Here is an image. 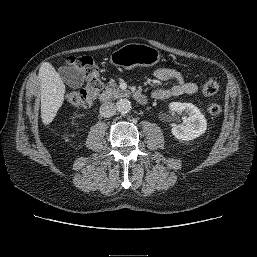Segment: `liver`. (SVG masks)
Segmentation results:
<instances>
[{"label": "liver", "mask_w": 257, "mask_h": 257, "mask_svg": "<svg viewBox=\"0 0 257 257\" xmlns=\"http://www.w3.org/2000/svg\"><path fill=\"white\" fill-rule=\"evenodd\" d=\"M39 79L41 83V118L43 124L48 125L63 104L66 87L60 75L49 62L42 64L39 70Z\"/></svg>", "instance_id": "obj_1"}]
</instances>
